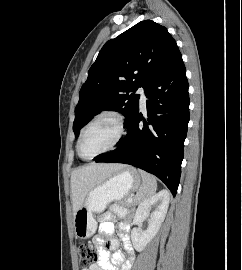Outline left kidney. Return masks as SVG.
I'll return each instance as SVG.
<instances>
[{"mask_svg": "<svg viewBox=\"0 0 242 270\" xmlns=\"http://www.w3.org/2000/svg\"><path fill=\"white\" fill-rule=\"evenodd\" d=\"M169 200V192L161 190L139 204L133 222L138 225L148 218L149 225L145 231L139 228L132 229L131 240L137 251H142L159 231L168 210ZM152 208L154 210L150 212Z\"/></svg>", "mask_w": 242, "mask_h": 270, "instance_id": "5707ae66", "label": "left kidney"}]
</instances>
